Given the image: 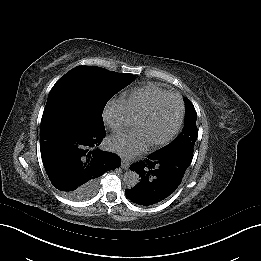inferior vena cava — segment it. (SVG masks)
<instances>
[{"label": "inferior vena cava", "mask_w": 261, "mask_h": 261, "mask_svg": "<svg viewBox=\"0 0 261 261\" xmlns=\"http://www.w3.org/2000/svg\"><path fill=\"white\" fill-rule=\"evenodd\" d=\"M112 127L114 128V130H119V127L117 126V124H113Z\"/></svg>", "instance_id": "obj_1"}]
</instances>
